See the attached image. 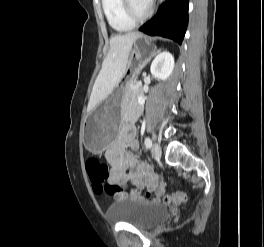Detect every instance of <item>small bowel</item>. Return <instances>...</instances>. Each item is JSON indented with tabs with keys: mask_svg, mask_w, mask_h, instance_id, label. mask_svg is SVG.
<instances>
[{
	"mask_svg": "<svg viewBox=\"0 0 264 247\" xmlns=\"http://www.w3.org/2000/svg\"><path fill=\"white\" fill-rule=\"evenodd\" d=\"M136 112H132L128 122L122 127L117 139L106 151V158L111 163L109 182L126 186L130 181L132 185L146 188L157 195L165 192V184L161 177L146 163H138L127 148L137 150L139 144L136 140V127L134 119ZM128 172L130 175L128 176ZM117 199L125 198V194H118Z\"/></svg>",
	"mask_w": 264,
	"mask_h": 247,
	"instance_id": "small-bowel-1",
	"label": "small bowel"
}]
</instances>
